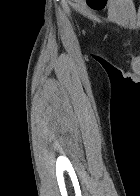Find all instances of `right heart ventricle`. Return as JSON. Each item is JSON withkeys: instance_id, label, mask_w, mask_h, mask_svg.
<instances>
[{"instance_id": "1", "label": "right heart ventricle", "mask_w": 140, "mask_h": 196, "mask_svg": "<svg viewBox=\"0 0 140 196\" xmlns=\"http://www.w3.org/2000/svg\"><path fill=\"white\" fill-rule=\"evenodd\" d=\"M91 192H112V191H91Z\"/></svg>"}]
</instances>
